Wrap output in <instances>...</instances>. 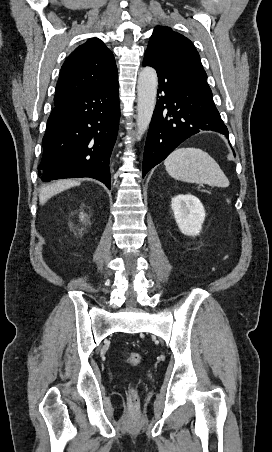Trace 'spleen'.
I'll return each instance as SVG.
<instances>
[{"instance_id": "obj_1", "label": "spleen", "mask_w": 272, "mask_h": 452, "mask_svg": "<svg viewBox=\"0 0 272 452\" xmlns=\"http://www.w3.org/2000/svg\"><path fill=\"white\" fill-rule=\"evenodd\" d=\"M166 171L177 180L228 187L229 180L218 163L198 148H178L164 161Z\"/></svg>"}]
</instances>
